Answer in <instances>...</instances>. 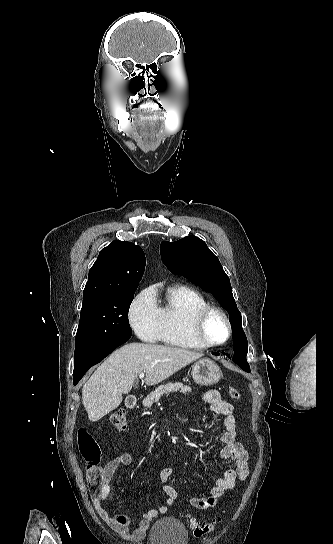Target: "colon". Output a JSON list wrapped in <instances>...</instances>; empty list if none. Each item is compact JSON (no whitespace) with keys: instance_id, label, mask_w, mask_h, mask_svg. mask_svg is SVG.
I'll return each instance as SVG.
<instances>
[{"instance_id":"obj_1","label":"colon","mask_w":333,"mask_h":544,"mask_svg":"<svg viewBox=\"0 0 333 544\" xmlns=\"http://www.w3.org/2000/svg\"><path fill=\"white\" fill-rule=\"evenodd\" d=\"M229 395L231 398L236 400L240 398L239 391L234 387L229 388ZM110 421L115 429L119 431L125 430L127 427V416L125 410L119 409L115 411L111 415ZM77 441L80 454L87 466L86 479L88 485L92 491H98L104 486L106 481L104 468L100 465V446L94 437L83 429L78 431ZM185 518L187 519L189 527L196 537H203L212 532L220 520L217 519L211 523H200L189 514H186Z\"/></svg>"}]
</instances>
